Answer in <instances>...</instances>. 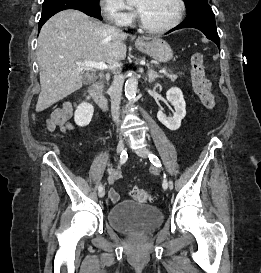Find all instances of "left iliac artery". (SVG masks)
<instances>
[{
	"mask_svg": "<svg viewBox=\"0 0 261 273\" xmlns=\"http://www.w3.org/2000/svg\"><path fill=\"white\" fill-rule=\"evenodd\" d=\"M149 159H150V161L153 163V165H155L156 167H161V166H162V165H161V162H160V160H159V158H158L156 155H154V154H149ZM164 177H165V176H164ZM162 186H163L164 189H167L168 183H167V180H166V179L163 180ZM169 187H170V189L173 188V182H172V181L169 182Z\"/></svg>",
	"mask_w": 261,
	"mask_h": 273,
	"instance_id": "left-iliac-artery-1",
	"label": "left iliac artery"
}]
</instances>
